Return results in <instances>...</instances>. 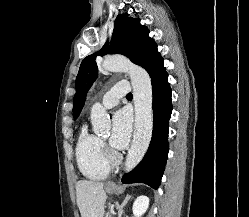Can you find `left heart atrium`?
Instances as JSON below:
<instances>
[{"label": "left heart atrium", "instance_id": "left-heart-atrium-1", "mask_svg": "<svg viewBox=\"0 0 249 217\" xmlns=\"http://www.w3.org/2000/svg\"><path fill=\"white\" fill-rule=\"evenodd\" d=\"M131 117L126 110L116 112L113 117V129L110 137V145L115 149H124L131 135Z\"/></svg>", "mask_w": 249, "mask_h": 217}]
</instances>
